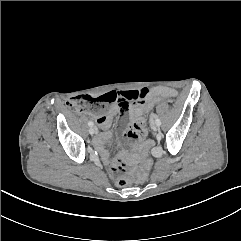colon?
<instances>
[{"label": "colon", "instance_id": "5ec220e1", "mask_svg": "<svg viewBox=\"0 0 241 241\" xmlns=\"http://www.w3.org/2000/svg\"><path fill=\"white\" fill-rule=\"evenodd\" d=\"M113 103H118L122 110L125 112L127 109V98L121 99L119 97H116L112 93H107L104 95H101L99 97H92L89 95H82L74 97L69 101V108L77 113L81 112H89L93 115L100 116V114L104 113L109 105ZM160 103L167 104L168 106H173L175 103V100L173 98L169 97H163L160 99H152L151 101L147 102L146 104H142L139 109V117L143 122H146L148 120L147 115L152 112L156 106ZM125 123V114H121L120 116V124ZM141 149L142 150H150L151 149V142L150 141H142L141 142ZM126 167V161L123 158H120L116 164V168L118 171H123ZM142 176L146 175V170H142L141 172ZM117 184L119 186H126L128 184V179L125 177H119L117 179Z\"/></svg>", "mask_w": 241, "mask_h": 241}]
</instances>
